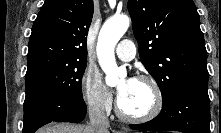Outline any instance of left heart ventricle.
<instances>
[{"mask_svg":"<svg viewBox=\"0 0 221 133\" xmlns=\"http://www.w3.org/2000/svg\"><path fill=\"white\" fill-rule=\"evenodd\" d=\"M126 80L119 83V88ZM124 112L131 115H141L150 110L153 104V93L149 84L135 80L127 92L119 98Z\"/></svg>","mask_w":221,"mask_h":133,"instance_id":"obj_1","label":"left heart ventricle"}]
</instances>
